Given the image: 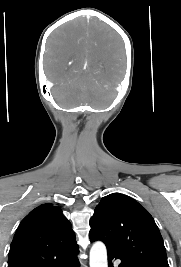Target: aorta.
Masks as SVG:
<instances>
[{
  "instance_id": "1",
  "label": "aorta",
  "mask_w": 181,
  "mask_h": 267,
  "mask_svg": "<svg viewBox=\"0 0 181 267\" xmlns=\"http://www.w3.org/2000/svg\"><path fill=\"white\" fill-rule=\"evenodd\" d=\"M90 267H108L107 250L104 243L95 242L90 250Z\"/></svg>"
}]
</instances>
